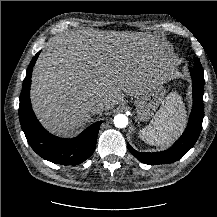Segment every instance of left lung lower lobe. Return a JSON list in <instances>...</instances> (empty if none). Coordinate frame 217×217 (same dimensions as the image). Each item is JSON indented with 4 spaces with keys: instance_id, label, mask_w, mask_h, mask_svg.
Masks as SVG:
<instances>
[{
    "instance_id": "0a47b994",
    "label": "left lung lower lobe",
    "mask_w": 217,
    "mask_h": 217,
    "mask_svg": "<svg viewBox=\"0 0 217 217\" xmlns=\"http://www.w3.org/2000/svg\"><path fill=\"white\" fill-rule=\"evenodd\" d=\"M190 72L193 88V107L186 130L171 148L162 152H138L128 144L127 146L130 153L142 163L149 165L173 163L182 158L197 141L202 129V121L204 117V79L199 78L192 69H190Z\"/></svg>"
}]
</instances>
